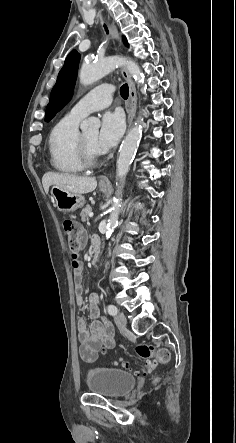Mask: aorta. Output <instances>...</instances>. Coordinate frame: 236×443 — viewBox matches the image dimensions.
Here are the masks:
<instances>
[{"instance_id": "aorta-1", "label": "aorta", "mask_w": 236, "mask_h": 443, "mask_svg": "<svg viewBox=\"0 0 236 443\" xmlns=\"http://www.w3.org/2000/svg\"><path fill=\"white\" fill-rule=\"evenodd\" d=\"M124 65L128 72L133 76L134 79H141V71L137 63L132 60L126 58H120L117 56H112L106 58L102 62L97 63H83L80 72H79V80L83 85H90L95 83L96 81L103 78L113 69L118 66ZM100 127V120L96 117H89L81 123V129L83 131L88 128H93L98 130ZM141 138V126L139 122H136L135 125L128 132L125 137L120 154L117 160V168H116V178L120 185L117 188L116 196L112 200V206L110 209V217L108 220V228L106 236L109 237L113 231V227L118 222L120 207H121V196H122V183L125 181L126 175L128 173L130 164L134 158L138 143Z\"/></svg>"}]
</instances>
